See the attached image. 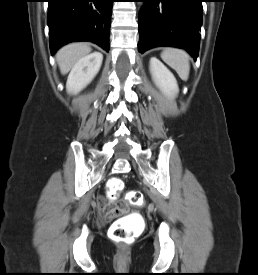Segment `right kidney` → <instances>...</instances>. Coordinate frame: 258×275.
<instances>
[{
  "mask_svg": "<svg viewBox=\"0 0 258 275\" xmlns=\"http://www.w3.org/2000/svg\"><path fill=\"white\" fill-rule=\"evenodd\" d=\"M103 55L94 52L80 59L69 73L66 88L69 93H77L89 84L98 73Z\"/></svg>",
  "mask_w": 258,
  "mask_h": 275,
  "instance_id": "right-kidney-1",
  "label": "right kidney"
}]
</instances>
